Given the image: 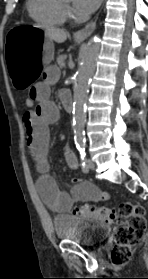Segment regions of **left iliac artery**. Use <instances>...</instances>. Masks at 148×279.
<instances>
[{"mask_svg": "<svg viewBox=\"0 0 148 279\" xmlns=\"http://www.w3.org/2000/svg\"><path fill=\"white\" fill-rule=\"evenodd\" d=\"M78 150L80 152V157L82 160V170H83V172H87L88 163H87V159H86L85 147H78Z\"/></svg>", "mask_w": 148, "mask_h": 279, "instance_id": "left-iliac-artery-1", "label": "left iliac artery"}]
</instances>
